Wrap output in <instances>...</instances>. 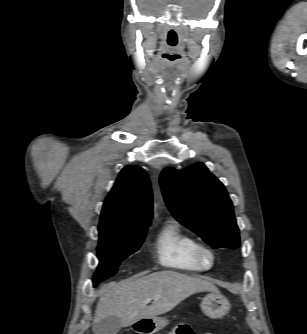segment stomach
Listing matches in <instances>:
<instances>
[{
  "instance_id": "obj_1",
  "label": "stomach",
  "mask_w": 307,
  "mask_h": 334,
  "mask_svg": "<svg viewBox=\"0 0 307 334\" xmlns=\"http://www.w3.org/2000/svg\"><path fill=\"white\" fill-rule=\"evenodd\" d=\"M201 310L211 319H219L225 316L230 310V303L226 297L219 292L208 293L201 302ZM169 323L166 317H155L152 319H141L135 323L137 328L143 326L144 332L141 334H154ZM147 332V333H145Z\"/></svg>"
}]
</instances>
